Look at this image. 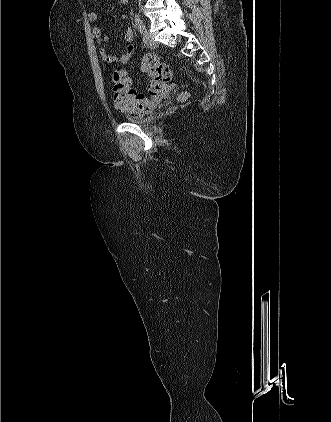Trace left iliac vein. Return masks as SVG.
<instances>
[{
  "label": "left iliac vein",
  "instance_id": "4c4485c4",
  "mask_svg": "<svg viewBox=\"0 0 331 422\" xmlns=\"http://www.w3.org/2000/svg\"><path fill=\"white\" fill-rule=\"evenodd\" d=\"M143 41L149 48H156L158 46L157 42L147 30L143 33Z\"/></svg>",
  "mask_w": 331,
  "mask_h": 422
}]
</instances>
